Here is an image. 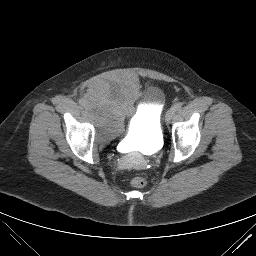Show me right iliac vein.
<instances>
[{"mask_svg":"<svg viewBox=\"0 0 256 256\" xmlns=\"http://www.w3.org/2000/svg\"><path fill=\"white\" fill-rule=\"evenodd\" d=\"M84 110H85L86 112H89V111L91 110V107H90L89 105H86V106L84 107Z\"/></svg>","mask_w":256,"mask_h":256,"instance_id":"right-iliac-vein-1","label":"right iliac vein"}]
</instances>
